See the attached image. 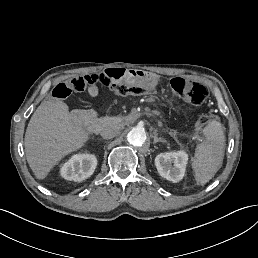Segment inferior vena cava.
<instances>
[{
    "mask_svg": "<svg viewBox=\"0 0 258 258\" xmlns=\"http://www.w3.org/2000/svg\"><path fill=\"white\" fill-rule=\"evenodd\" d=\"M118 130L114 124L107 125L101 130V136L106 139L113 138L117 135Z\"/></svg>",
    "mask_w": 258,
    "mask_h": 258,
    "instance_id": "602c4592",
    "label": "inferior vena cava"
}]
</instances>
